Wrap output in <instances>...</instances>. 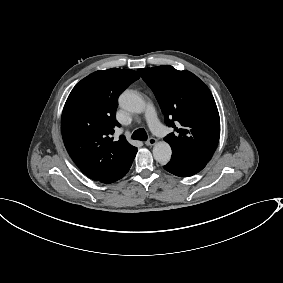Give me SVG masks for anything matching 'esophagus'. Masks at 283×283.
Masks as SVG:
<instances>
[{"label": "esophagus", "instance_id": "34e87169", "mask_svg": "<svg viewBox=\"0 0 283 283\" xmlns=\"http://www.w3.org/2000/svg\"><path fill=\"white\" fill-rule=\"evenodd\" d=\"M157 143V139H155V138H150V139H148L146 142H145V144L147 145V146H153V145H155Z\"/></svg>", "mask_w": 283, "mask_h": 283}]
</instances>
